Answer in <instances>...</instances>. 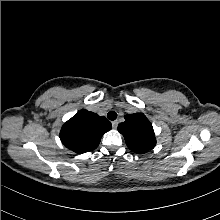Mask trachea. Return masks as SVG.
<instances>
[{"instance_id": "3493384b", "label": "trachea", "mask_w": 220, "mask_h": 220, "mask_svg": "<svg viewBox=\"0 0 220 220\" xmlns=\"http://www.w3.org/2000/svg\"><path fill=\"white\" fill-rule=\"evenodd\" d=\"M107 117L109 120H115L117 118V113L115 111H110L108 114H107Z\"/></svg>"}]
</instances>
